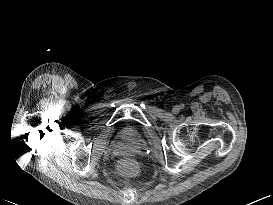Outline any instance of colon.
<instances>
[{"instance_id":"1","label":"colon","mask_w":273,"mask_h":205,"mask_svg":"<svg viewBox=\"0 0 273 205\" xmlns=\"http://www.w3.org/2000/svg\"><path fill=\"white\" fill-rule=\"evenodd\" d=\"M136 169H137L136 164L129 159L123 160L119 165V171L123 176L133 175L136 172Z\"/></svg>"}]
</instances>
